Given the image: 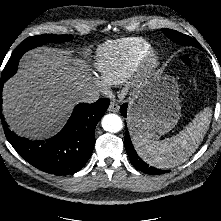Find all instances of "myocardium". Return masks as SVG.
<instances>
[{"label":"myocardium","instance_id":"obj_1","mask_svg":"<svg viewBox=\"0 0 221 221\" xmlns=\"http://www.w3.org/2000/svg\"><path fill=\"white\" fill-rule=\"evenodd\" d=\"M161 59L160 51L151 48L140 61L135 72H138L140 77H146L150 75L159 65Z\"/></svg>","mask_w":221,"mask_h":221}]
</instances>
